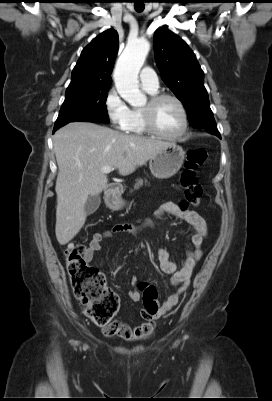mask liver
I'll return each instance as SVG.
<instances>
[{
	"mask_svg": "<svg viewBox=\"0 0 272 401\" xmlns=\"http://www.w3.org/2000/svg\"><path fill=\"white\" fill-rule=\"evenodd\" d=\"M53 145L58 165L55 233L59 244L65 245L85 224L89 195H99L107 187L103 167L128 175L169 142L126 135L91 122H71L55 133Z\"/></svg>",
	"mask_w": 272,
	"mask_h": 401,
	"instance_id": "obj_1",
	"label": "liver"
}]
</instances>
